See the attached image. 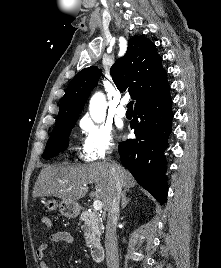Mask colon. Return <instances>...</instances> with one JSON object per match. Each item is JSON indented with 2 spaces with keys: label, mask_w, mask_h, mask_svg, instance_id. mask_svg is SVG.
<instances>
[{
  "label": "colon",
  "mask_w": 221,
  "mask_h": 268,
  "mask_svg": "<svg viewBox=\"0 0 221 268\" xmlns=\"http://www.w3.org/2000/svg\"><path fill=\"white\" fill-rule=\"evenodd\" d=\"M41 223H42L43 227L46 229H50L53 226V222H52L51 218L47 215H43L41 217Z\"/></svg>",
  "instance_id": "obj_1"
}]
</instances>
